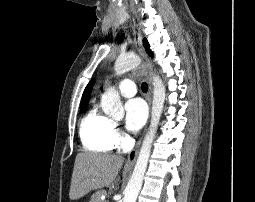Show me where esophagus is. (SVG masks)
Listing matches in <instances>:
<instances>
[{
  "label": "esophagus",
  "instance_id": "obj_1",
  "mask_svg": "<svg viewBox=\"0 0 255 202\" xmlns=\"http://www.w3.org/2000/svg\"><path fill=\"white\" fill-rule=\"evenodd\" d=\"M132 28H133V32H134V39H135L136 49H137V51L139 52L140 56L143 59V65L142 66H143L144 70L146 71L147 80H148V83H149L147 101H148L149 106H151L153 88H152L151 77H150V74L148 73V70L150 68V63H149V60H148L147 55L145 53V50L143 48L141 31H140L138 25L136 24V22L134 20H132ZM141 140H142V138L136 143L135 147L128 154V157H127V160H126V166L127 167H131V166L134 165L135 160H136L137 155H138Z\"/></svg>",
  "mask_w": 255,
  "mask_h": 202
}]
</instances>
